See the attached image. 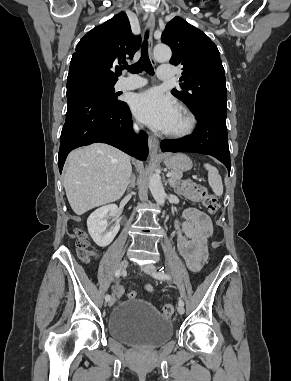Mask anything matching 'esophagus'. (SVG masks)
<instances>
[{
	"label": "esophagus",
	"instance_id": "34e87169",
	"mask_svg": "<svg viewBox=\"0 0 291 381\" xmlns=\"http://www.w3.org/2000/svg\"><path fill=\"white\" fill-rule=\"evenodd\" d=\"M154 26H155V16L153 14H151L148 17V20H147V23H146V27H145V31L148 32V34H149L147 41H148V51H149V56H150V59H151V63L153 65H156V61H155V59L153 58V55H152V47H153L152 32H153ZM148 145H149L150 153L152 155H156L157 154V150H158V145H159L158 139L156 137L150 135L149 139H148Z\"/></svg>",
	"mask_w": 291,
	"mask_h": 381
}]
</instances>
